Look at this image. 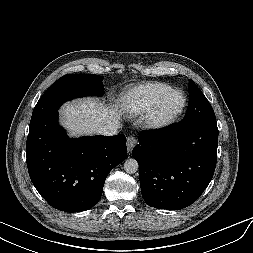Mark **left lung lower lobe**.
<instances>
[{
  "label": "left lung lower lobe",
  "instance_id": "1",
  "mask_svg": "<svg viewBox=\"0 0 253 253\" xmlns=\"http://www.w3.org/2000/svg\"><path fill=\"white\" fill-rule=\"evenodd\" d=\"M217 146L216 119L140 133L132 156L145 202L169 210L195 202L213 177Z\"/></svg>",
  "mask_w": 253,
  "mask_h": 253
}]
</instances>
